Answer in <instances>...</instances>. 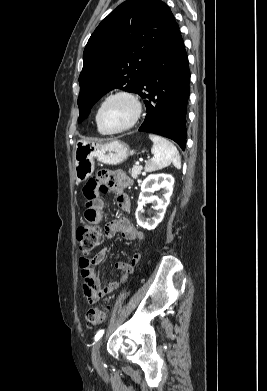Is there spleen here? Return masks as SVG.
<instances>
[{"mask_svg": "<svg viewBox=\"0 0 267 391\" xmlns=\"http://www.w3.org/2000/svg\"><path fill=\"white\" fill-rule=\"evenodd\" d=\"M153 142L151 152L153 157L146 162L145 171L153 172L169 166L171 163L177 168H181V157L177 148L167 139L149 134Z\"/></svg>", "mask_w": 267, "mask_h": 391, "instance_id": "3e777b00", "label": "spleen"}]
</instances>
